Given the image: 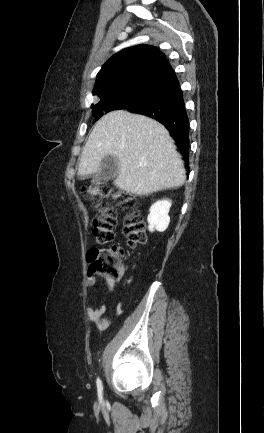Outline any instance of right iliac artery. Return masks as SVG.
<instances>
[{
    "instance_id": "right-iliac-artery-1",
    "label": "right iliac artery",
    "mask_w": 264,
    "mask_h": 433,
    "mask_svg": "<svg viewBox=\"0 0 264 433\" xmlns=\"http://www.w3.org/2000/svg\"><path fill=\"white\" fill-rule=\"evenodd\" d=\"M96 384H97V389H98V395L101 396L102 391H103V387H102V382L99 378H97Z\"/></svg>"
}]
</instances>
